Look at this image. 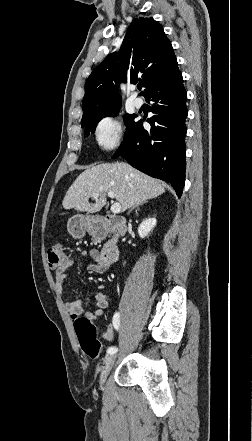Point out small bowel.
<instances>
[{"label":"small bowel","mask_w":252,"mask_h":441,"mask_svg":"<svg viewBox=\"0 0 252 441\" xmlns=\"http://www.w3.org/2000/svg\"><path fill=\"white\" fill-rule=\"evenodd\" d=\"M86 252H80L76 254L70 255L65 263L56 269V273L54 276V284L57 292L61 297H69L74 296L78 293L77 289H66L65 283L68 278L65 273L66 269L72 266L81 256L86 255ZM88 255L91 258L87 268L89 271L94 273H104L108 267L102 262L101 256L99 252L95 249H91L88 252ZM111 296L104 293H97L93 299L94 305L96 308L94 310H85V307L89 303L88 298L84 299H76L74 301L67 303V309L70 314V317L75 321L80 316H84L89 320H97L104 316L105 311L109 308L111 303ZM114 326L113 324H109L102 337L104 340H110L114 336Z\"/></svg>","instance_id":"obj_1"}]
</instances>
